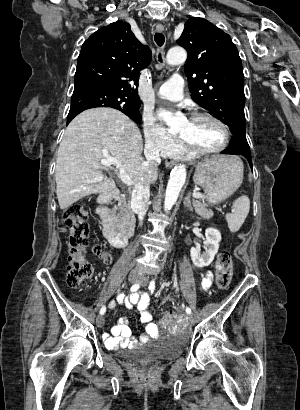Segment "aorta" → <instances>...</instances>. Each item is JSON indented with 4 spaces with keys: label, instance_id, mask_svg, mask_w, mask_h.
<instances>
[{
    "label": "aorta",
    "instance_id": "762f6f07",
    "mask_svg": "<svg viewBox=\"0 0 300 410\" xmlns=\"http://www.w3.org/2000/svg\"><path fill=\"white\" fill-rule=\"evenodd\" d=\"M167 63L171 65L182 64L187 59L186 51L181 47H174L167 53ZM159 116L166 122L171 130H178L181 127V119L174 117L170 112L160 110ZM186 180V166L179 164L175 166L170 174V179L167 184L164 210L168 212L176 203L180 191L185 184Z\"/></svg>",
    "mask_w": 300,
    "mask_h": 410
}]
</instances>
